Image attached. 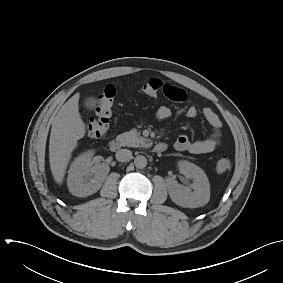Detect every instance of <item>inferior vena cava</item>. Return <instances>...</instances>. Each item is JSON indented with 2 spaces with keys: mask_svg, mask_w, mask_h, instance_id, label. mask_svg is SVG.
<instances>
[{
  "mask_svg": "<svg viewBox=\"0 0 283 283\" xmlns=\"http://www.w3.org/2000/svg\"><path fill=\"white\" fill-rule=\"evenodd\" d=\"M132 158V152L128 149H120L116 152V159L120 162L129 161Z\"/></svg>",
  "mask_w": 283,
  "mask_h": 283,
  "instance_id": "602c4592",
  "label": "inferior vena cava"
}]
</instances>
